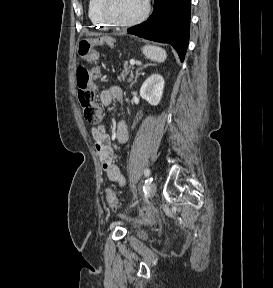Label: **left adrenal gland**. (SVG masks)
Segmentation results:
<instances>
[{
    "instance_id": "a2214340",
    "label": "left adrenal gland",
    "mask_w": 273,
    "mask_h": 288,
    "mask_svg": "<svg viewBox=\"0 0 273 288\" xmlns=\"http://www.w3.org/2000/svg\"><path fill=\"white\" fill-rule=\"evenodd\" d=\"M151 65H152V64L143 65L142 67H140L139 69L136 70V76H135L134 81L131 83V87H132V85L137 81V78H138V76H139V72H140L141 70H143L144 68H146V67H148V66H151Z\"/></svg>"
}]
</instances>
